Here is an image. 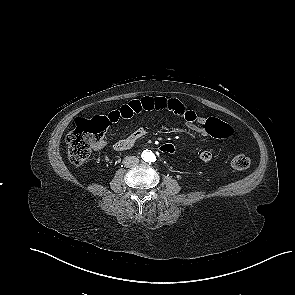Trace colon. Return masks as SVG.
<instances>
[{
	"label": "colon",
	"instance_id": "colon-1",
	"mask_svg": "<svg viewBox=\"0 0 295 295\" xmlns=\"http://www.w3.org/2000/svg\"><path fill=\"white\" fill-rule=\"evenodd\" d=\"M108 122L104 116L91 118H78L76 126L66 137L69 160L74 165L85 163L90 155L91 149L102 139ZM208 133L217 138H229L234 129L229 124L217 119H210L206 123ZM159 150L165 154L173 155L176 152L175 145L169 141H161ZM232 168L237 171L245 170L250 165V158L244 154H238L232 159Z\"/></svg>",
	"mask_w": 295,
	"mask_h": 295
}]
</instances>
